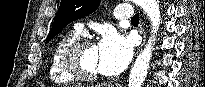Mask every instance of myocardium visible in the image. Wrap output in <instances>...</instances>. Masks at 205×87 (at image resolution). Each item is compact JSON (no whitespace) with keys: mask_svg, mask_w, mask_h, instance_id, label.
<instances>
[{"mask_svg":"<svg viewBox=\"0 0 205 87\" xmlns=\"http://www.w3.org/2000/svg\"><path fill=\"white\" fill-rule=\"evenodd\" d=\"M95 46L89 39H78L68 45L62 53L61 64L63 69L74 79L82 82H91L99 78V73L88 74L82 71L79 65V56L86 47Z\"/></svg>","mask_w":205,"mask_h":87,"instance_id":"1","label":"myocardium"}]
</instances>
